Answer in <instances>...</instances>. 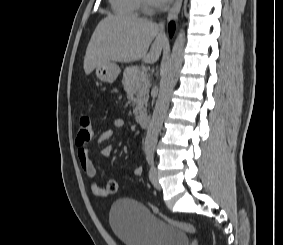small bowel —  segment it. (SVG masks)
Returning <instances> with one entry per match:
<instances>
[{
	"instance_id": "1",
	"label": "small bowel",
	"mask_w": 283,
	"mask_h": 245,
	"mask_svg": "<svg viewBox=\"0 0 283 245\" xmlns=\"http://www.w3.org/2000/svg\"><path fill=\"white\" fill-rule=\"evenodd\" d=\"M125 126V121L122 118H117L113 122V127L102 132L96 142L98 144L105 143L114 137L116 130L122 129ZM112 153V147L110 144H106L103 148V155L108 158ZM78 161L86 176L89 179L90 187L94 195L106 196L107 193L104 188L100 187L96 181V168L90 157L89 149L80 147L77 151ZM143 168L140 164H137L134 168L135 175H141Z\"/></svg>"
}]
</instances>
